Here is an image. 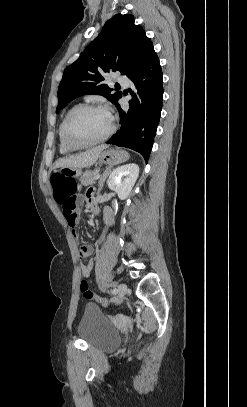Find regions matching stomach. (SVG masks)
Listing matches in <instances>:
<instances>
[{
    "instance_id": "obj_1",
    "label": "stomach",
    "mask_w": 247,
    "mask_h": 407,
    "mask_svg": "<svg viewBox=\"0 0 247 407\" xmlns=\"http://www.w3.org/2000/svg\"><path fill=\"white\" fill-rule=\"evenodd\" d=\"M100 161L107 165H116L128 160L129 155L123 150L106 149L100 154ZM61 175L64 178H75V176L81 175L82 171L78 166H61Z\"/></svg>"
}]
</instances>
